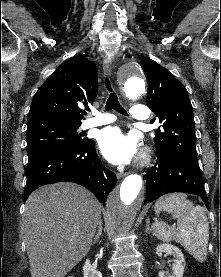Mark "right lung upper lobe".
I'll list each match as a JSON object with an SVG mask.
<instances>
[{
  "label": "right lung upper lobe",
  "mask_w": 221,
  "mask_h": 277,
  "mask_svg": "<svg viewBox=\"0 0 221 277\" xmlns=\"http://www.w3.org/2000/svg\"><path fill=\"white\" fill-rule=\"evenodd\" d=\"M98 92L97 69L83 56L64 61L36 92L28 125L57 122L81 125L80 106L92 104Z\"/></svg>",
  "instance_id": "1"
}]
</instances>
